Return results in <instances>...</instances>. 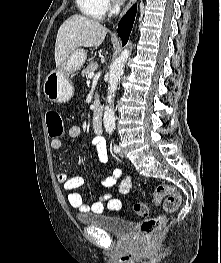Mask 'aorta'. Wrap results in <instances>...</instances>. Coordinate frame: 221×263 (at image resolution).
I'll list each match as a JSON object with an SVG mask.
<instances>
[{"label":"aorta","mask_w":221,"mask_h":263,"mask_svg":"<svg viewBox=\"0 0 221 263\" xmlns=\"http://www.w3.org/2000/svg\"><path fill=\"white\" fill-rule=\"evenodd\" d=\"M131 54V50L126 46L121 52L120 56L112 63L109 72L108 80V95L107 105L104 110V127L106 132L112 133L115 129V111L113 107L114 97L117 90L118 82L123 75L124 67L127 59Z\"/></svg>","instance_id":"aorta-1"}]
</instances>
